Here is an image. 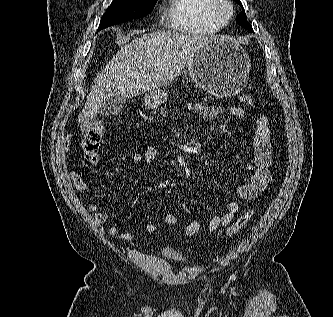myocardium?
Returning a JSON list of instances; mask_svg holds the SVG:
<instances>
[{
  "label": "myocardium",
  "mask_w": 333,
  "mask_h": 317,
  "mask_svg": "<svg viewBox=\"0 0 333 317\" xmlns=\"http://www.w3.org/2000/svg\"><path fill=\"white\" fill-rule=\"evenodd\" d=\"M210 11L216 19L227 24L234 15V6L231 0H212Z\"/></svg>",
  "instance_id": "f54148a6"
}]
</instances>
